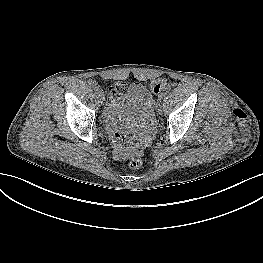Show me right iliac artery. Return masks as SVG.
<instances>
[{"label": "right iliac artery", "instance_id": "1", "mask_svg": "<svg viewBox=\"0 0 263 263\" xmlns=\"http://www.w3.org/2000/svg\"><path fill=\"white\" fill-rule=\"evenodd\" d=\"M93 90H94L96 93L102 92V89L98 88L97 86H94V87H93Z\"/></svg>", "mask_w": 263, "mask_h": 263}]
</instances>
